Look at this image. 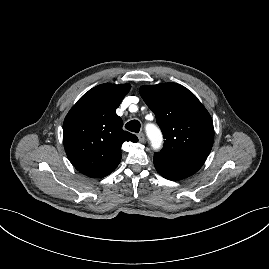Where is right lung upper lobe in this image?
<instances>
[{
    "instance_id": "1",
    "label": "right lung upper lobe",
    "mask_w": 269,
    "mask_h": 269,
    "mask_svg": "<svg viewBox=\"0 0 269 269\" xmlns=\"http://www.w3.org/2000/svg\"><path fill=\"white\" fill-rule=\"evenodd\" d=\"M129 84L98 85L71 108L63 123V143L72 165L84 175L102 178L120 163L121 145L138 138L122 129L116 109Z\"/></svg>"
}]
</instances>
